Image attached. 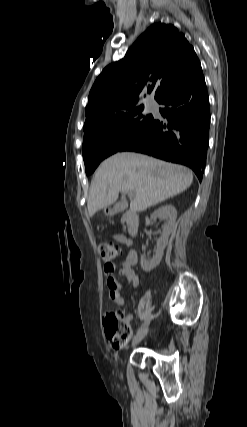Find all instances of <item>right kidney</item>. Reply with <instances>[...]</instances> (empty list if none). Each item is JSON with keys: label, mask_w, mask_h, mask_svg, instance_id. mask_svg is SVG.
<instances>
[{"label": "right kidney", "mask_w": 247, "mask_h": 427, "mask_svg": "<svg viewBox=\"0 0 247 427\" xmlns=\"http://www.w3.org/2000/svg\"><path fill=\"white\" fill-rule=\"evenodd\" d=\"M157 218H161L166 222L163 225V232L157 241V250L153 258L148 259L144 256H141V267L145 272H150L153 270L162 260L164 249L168 243L169 235L175 226L177 211L172 205H164L152 213L151 219L156 220Z\"/></svg>", "instance_id": "right-kidney-1"}]
</instances>
